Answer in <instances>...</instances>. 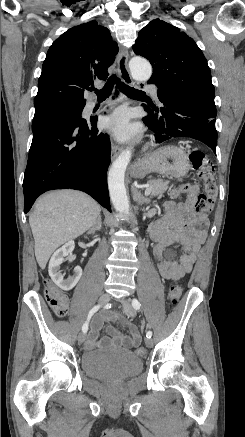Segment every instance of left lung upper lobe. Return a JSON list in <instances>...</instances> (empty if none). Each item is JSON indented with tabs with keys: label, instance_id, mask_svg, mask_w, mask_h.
Listing matches in <instances>:
<instances>
[{
	"label": "left lung upper lobe",
	"instance_id": "1",
	"mask_svg": "<svg viewBox=\"0 0 245 437\" xmlns=\"http://www.w3.org/2000/svg\"><path fill=\"white\" fill-rule=\"evenodd\" d=\"M133 51L152 64L150 84L196 96L215 106L207 60L186 33L160 19L152 20L139 32Z\"/></svg>",
	"mask_w": 245,
	"mask_h": 437
}]
</instances>
